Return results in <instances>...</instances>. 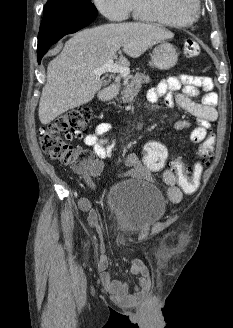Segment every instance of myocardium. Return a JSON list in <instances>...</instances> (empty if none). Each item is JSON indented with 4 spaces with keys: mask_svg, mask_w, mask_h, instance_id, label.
<instances>
[{
    "mask_svg": "<svg viewBox=\"0 0 233 328\" xmlns=\"http://www.w3.org/2000/svg\"><path fill=\"white\" fill-rule=\"evenodd\" d=\"M160 7L170 11L186 23L195 22L200 15V0H156Z\"/></svg>",
    "mask_w": 233,
    "mask_h": 328,
    "instance_id": "1",
    "label": "myocardium"
}]
</instances>
